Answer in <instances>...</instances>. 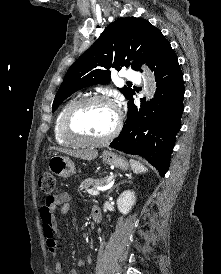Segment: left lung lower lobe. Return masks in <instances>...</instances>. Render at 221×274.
Returning a JSON list of instances; mask_svg holds the SVG:
<instances>
[{"label":"left lung lower lobe","mask_w":221,"mask_h":274,"mask_svg":"<svg viewBox=\"0 0 221 274\" xmlns=\"http://www.w3.org/2000/svg\"><path fill=\"white\" fill-rule=\"evenodd\" d=\"M148 66L157 82L154 98L150 102L141 99L139 109L133 97L129 99L126 123L110 147L143 156L164 177L181 127L183 74L169 42L151 58Z\"/></svg>","instance_id":"obj_1"}]
</instances>
